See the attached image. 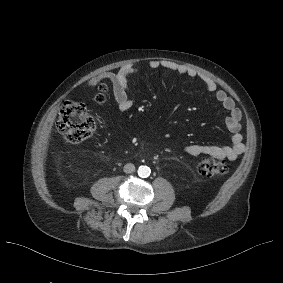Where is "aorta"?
Segmentation results:
<instances>
[{
    "label": "aorta",
    "instance_id": "762f6f07",
    "mask_svg": "<svg viewBox=\"0 0 283 283\" xmlns=\"http://www.w3.org/2000/svg\"><path fill=\"white\" fill-rule=\"evenodd\" d=\"M138 175L142 178H146L150 175L151 170L148 166L142 165L138 168Z\"/></svg>",
    "mask_w": 283,
    "mask_h": 283
}]
</instances>
